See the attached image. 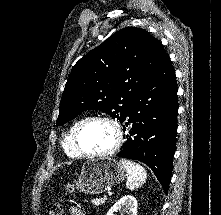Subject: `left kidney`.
<instances>
[{
  "label": "left kidney",
  "instance_id": "obj_1",
  "mask_svg": "<svg viewBox=\"0 0 221 215\" xmlns=\"http://www.w3.org/2000/svg\"><path fill=\"white\" fill-rule=\"evenodd\" d=\"M126 209L129 215H137V200L131 195H125L118 200L106 215H115L114 212Z\"/></svg>",
  "mask_w": 221,
  "mask_h": 215
}]
</instances>
